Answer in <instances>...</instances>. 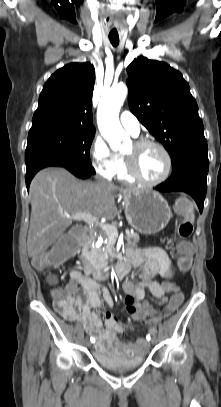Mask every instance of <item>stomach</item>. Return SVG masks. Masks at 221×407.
<instances>
[{
    "label": "stomach",
    "instance_id": "1",
    "mask_svg": "<svg viewBox=\"0 0 221 407\" xmlns=\"http://www.w3.org/2000/svg\"><path fill=\"white\" fill-rule=\"evenodd\" d=\"M124 201L126 219L140 233L156 234L166 227L172 217L168 202L156 191H127Z\"/></svg>",
    "mask_w": 221,
    "mask_h": 407
}]
</instances>
